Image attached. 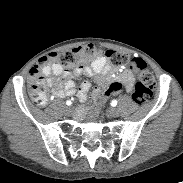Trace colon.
Wrapping results in <instances>:
<instances>
[{"label": "colon", "instance_id": "5ec220e1", "mask_svg": "<svg viewBox=\"0 0 183 183\" xmlns=\"http://www.w3.org/2000/svg\"><path fill=\"white\" fill-rule=\"evenodd\" d=\"M96 55V48L92 46H81L66 50L60 53L50 54L39 60L38 64L31 69L28 91L30 98L37 105H44L47 102V90L42 76V70L53 64H57L62 68L79 67ZM105 56L109 64L116 68H129L134 70L138 77V82L132 94V99L137 104H142L153 95L156 88L155 77L147 68L146 63L140 58L129 59V57L119 51L108 50ZM125 84L122 81L111 82L104 96L101 97L100 103H96L87 115V120L91 121L99 115L101 104H106L109 97L122 96L124 94Z\"/></svg>", "mask_w": 183, "mask_h": 183}]
</instances>
